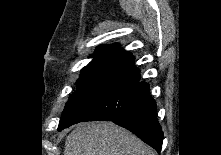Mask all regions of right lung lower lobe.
<instances>
[{"mask_svg":"<svg viewBox=\"0 0 221 155\" xmlns=\"http://www.w3.org/2000/svg\"><path fill=\"white\" fill-rule=\"evenodd\" d=\"M156 108L149 85L140 81V71L130 54L115 66L93 106L80 122L112 121L160 152L163 132L155 116Z\"/></svg>","mask_w":221,"mask_h":155,"instance_id":"obj_1","label":"right lung lower lobe"}]
</instances>
